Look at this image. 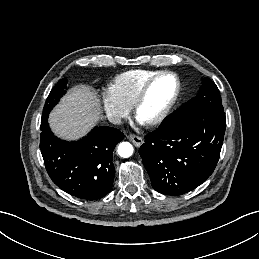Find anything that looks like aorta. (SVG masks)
<instances>
[{
	"instance_id": "762f6f07",
	"label": "aorta",
	"mask_w": 259,
	"mask_h": 259,
	"mask_svg": "<svg viewBox=\"0 0 259 259\" xmlns=\"http://www.w3.org/2000/svg\"><path fill=\"white\" fill-rule=\"evenodd\" d=\"M117 152L119 156L128 158L133 154V146L129 142H122L119 144Z\"/></svg>"
}]
</instances>
